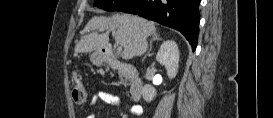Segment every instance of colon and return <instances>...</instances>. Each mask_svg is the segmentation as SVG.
Here are the masks:
<instances>
[{
    "mask_svg": "<svg viewBox=\"0 0 273 118\" xmlns=\"http://www.w3.org/2000/svg\"><path fill=\"white\" fill-rule=\"evenodd\" d=\"M72 99L77 104H83L86 101V92L77 74H73L71 78Z\"/></svg>",
    "mask_w": 273,
    "mask_h": 118,
    "instance_id": "colon-1",
    "label": "colon"
}]
</instances>
